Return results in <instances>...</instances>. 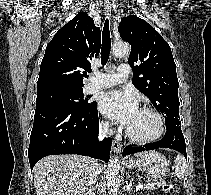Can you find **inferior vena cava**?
I'll return each mask as SVG.
<instances>
[{
	"instance_id": "obj_1",
	"label": "inferior vena cava",
	"mask_w": 211,
	"mask_h": 195,
	"mask_svg": "<svg viewBox=\"0 0 211 195\" xmlns=\"http://www.w3.org/2000/svg\"><path fill=\"white\" fill-rule=\"evenodd\" d=\"M110 133L109 124H103L100 126L99 130V140H102L107 134ZM90 165V178L89 185H92L95 182L97 175L100 173V163L94 159H91Z\"/></svg>"
}]
</instances>
